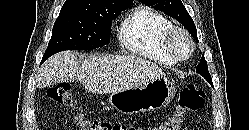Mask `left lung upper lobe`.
<instances>
[{
    "label": "left lung upper lobe",
    "mask_w": 249,
    "mask_h": 130,
    "mask_svg": "<svg viewBox=\"0 0 249 130\" xmlns=\"http://www.w3.org/2000/svg\"><path fill=\"white\" fill-rule=\"evenodd\" d=\"M142 4L154 8L155 10L162 11L171 17L178 20L196 39L197 38V30L193 19L188 14L185 6L182 4L181 0H140ZM196 72L203 76L211 85L212 78L208 71L207 62L204 58V55L200 59V63L196 67Z\"/></svg>",
    "instance_id": "5c2ea615"
}]
</instances>
